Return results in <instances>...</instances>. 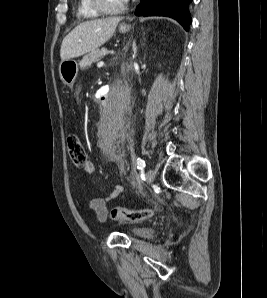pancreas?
<instances>
[{"mask_svg":"<svg viewBox=\"0 0 267 298\" xmlns=\"http://www.w3.org/2000/svg\"><path fill=\"white\" fill-rule=\"evenodd\" d=\"M108 53L106 48L95 49L85 55L79 63L81 68L89 67L92 63L99 61Z\"/></svg>","mask_w":267,"mask_h":298,"instance_id":"1","label":"pancreas"}]
</instances>
